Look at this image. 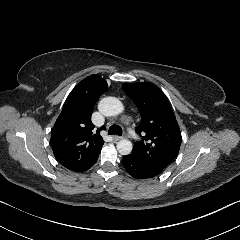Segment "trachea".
I'll use <instances>...</instances> for the list:
<instances>
[{"instance_id":"obj_1","label":"trachea","mask_w":240,"mask_h":240,"mask_svg":"<svg viewBox=\"0 0 240 240\" xmlns=\"http://www.w3.org/2000/svg\"><path fill=\"white\" fill-rule=\"evenodd\" d=\"M109 135H122V128L117 125V124H113L110 128H109Z\"/></svg>"}]
</instances>
